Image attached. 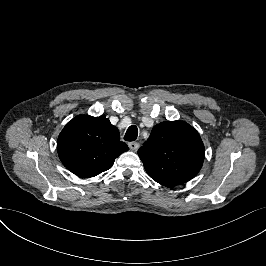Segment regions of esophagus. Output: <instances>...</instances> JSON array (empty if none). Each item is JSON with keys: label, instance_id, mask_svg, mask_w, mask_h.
<instances>
[{"label": "esophagus", "instance_id": "esophagus-1", "mask_svg": "<svg viewBox=\"0 0 266 266\" xmlns=\"http://www.w3.org/2000/svg\"><path fill=\"white\" fill-rule=\"evenodd\" d=\"M140 144L138 142H129L128 147L132 151H137L139 148Z\"/></svg>", "mask_w": 266, "mask_h": 266}]
</instances>
